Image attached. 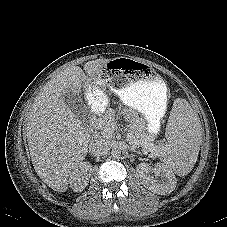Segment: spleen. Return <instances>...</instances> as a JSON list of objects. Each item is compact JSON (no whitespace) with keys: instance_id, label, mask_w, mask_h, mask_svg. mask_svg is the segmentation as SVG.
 I'll list each match as a JSON object with an SVG mask.
<instances>
[{"instance_id":"spleen-1","label":"spleen","mask_w":227,"mask_h":227,"mask_svg":"<svg viewBox=\"0 0 227 227\" xmlns=\"http://www.w3.org/2000/svg\"><path fill=\"white\" fill-rule=\"evenodd\" d=\"M167 127L168 145L160 151L166 166L178 176L187 175L197 160L201 128L185 100L174 104Z\"/></svg>"}]
</instances>
